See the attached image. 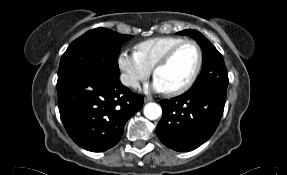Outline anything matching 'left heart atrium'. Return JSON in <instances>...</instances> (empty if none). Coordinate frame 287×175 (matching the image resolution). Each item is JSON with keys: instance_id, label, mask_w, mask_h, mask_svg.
I'll return each instance as SVG.
<instances>
[{"instance_id": "39dd6f15", "label": "left heart atrium", "mask_w": 287, "mask_h": 175, "mask_svg": "<svg viewBox=\"0 0 287 175\" xmlns=\"http://www.w3.org/2000/svg\"><path fill=\"white\" fill-rule=\"evenodd\" d=\"M151 89L156 91V92H167L168 89L164 82L159 78L156 77L154 78L152 84L150 85Z\"/></svg>"}]
</instances>
